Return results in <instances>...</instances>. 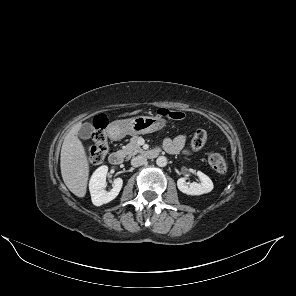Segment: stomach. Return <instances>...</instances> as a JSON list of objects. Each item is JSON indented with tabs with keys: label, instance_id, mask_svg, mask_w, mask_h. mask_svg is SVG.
<instances>
[{
	"label": "stomach",
	"instance_id": "stomach-1",
	"mask_svg": "<svg viewBox=\"0 0 296 296\" xmlns=\"http://www.w3.org/2000/svg\"><path fill=\"white\" fill-rule=\"evenodd\" d=\"M166 122L160 116H137L113 123L115 130L120 135H139L161 130Z\"/></svg>",
	"mask_w": 296,
	"mask_h": 296
}]
</instances>
